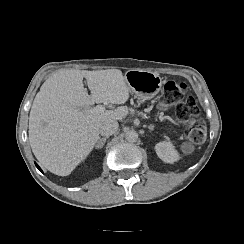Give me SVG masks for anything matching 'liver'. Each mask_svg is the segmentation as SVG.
Masks as SVG:
<instances>
[{
	"instance_id": "1",
	"label": "liver",
	"mask_w": 244,
	"mask_h": 244,
	"mask_svg": "<svg viewBox=\"0 0 244 244\" xmlns=\"http://www.w3.org/2000/svg\"><path fill=\"white\" fill-rule=\"evenodd\" d=\"M129 98L130 88L119 69L54 73L41 85L29 114V142L36 159L50 172L68 176L94 149L99 125L122 121L130 112L128 106L97 112L92 105H123Z\"/></svg>"
}]
</instances>
